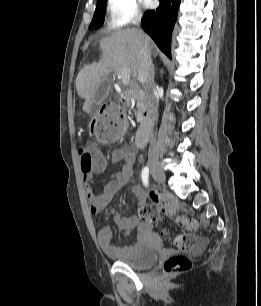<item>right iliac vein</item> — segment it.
Wrapping results in <instances>:
<instances>
[{
  "label": "right iliac vein",
  "mask_w": 261,
  "mask_h": 306,
  "mask_svg": "<svg viewBox=\"0 0 261 306\" xmlns=\"http://www.w3.org/2000/svg\"><path fill=\"white\" fill-rule=\"evenodd\" d=\"M150 169L152 176L155 178L157 182L159 183L165 182L166 180L165 173L156 163H152Z\"/></svg>",
  "instance_id": "right-iliac-vein-1"
}]
</instances>
